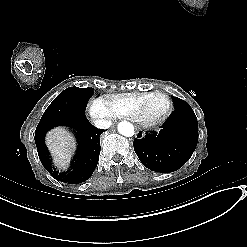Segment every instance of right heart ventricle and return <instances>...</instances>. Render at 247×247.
<instances>
[{
	"instance_id": "1",
	"label": "right heart ventricle",
	"mask_w": 247,
	"mask_h": 247,
	"mask_svg": "<svg viewBox=\"0 0 247 247\" xmlns=\"http://www.w3.org/2000/svg\"><path fill=\"white\" fill-rule=\"evenodd\" d=\"M150 92L104 95L100 98L110 114V119L129 118L145 102Z\"/></svg>"
}]
</instances>
